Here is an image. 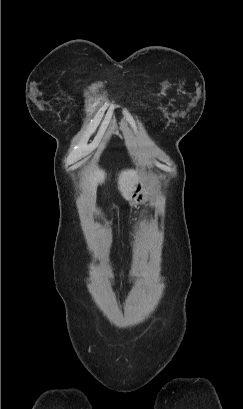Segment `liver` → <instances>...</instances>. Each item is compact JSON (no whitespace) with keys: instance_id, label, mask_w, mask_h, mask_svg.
<instances>
[{"instance_id":"1","label":"liver","mask_w":243,"mask_h":409,"mask_svg":"<svg viewBox=\"0 0 243 409\" xmlns=\"http://www.w3.org/2000/svg\"><path fill=\"white\" fill-rule=\"evenodd\" d=\"M138 175L134 170H124L119 174L118 189L125 199H129L131 191L137 181ZM105 180V172L97 167L86 177L85 183L89 185L88 191L92 196V201L96 198V185L103 183Z\"/></svg>"}]
</instances>
